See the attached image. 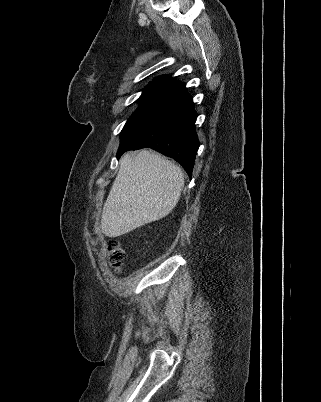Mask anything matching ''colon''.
Masks as SVG:
<instances>
[{"label":"colon","instance_id":"obj_1","mask_svg":"<svg viewBox=\"0 0 321 402\" xmlns=\"http://www.w3.org/2000/svg\"><path fill=\"white\" fill-rule=\"evenodd\" d=\"M108 249V259L110 265L116 270L119 271L125 262V252L120 247L118 241L115 239H110L107 243Z\"/></svg>","mask_w":321,"mask_h":402}]
</instances>
